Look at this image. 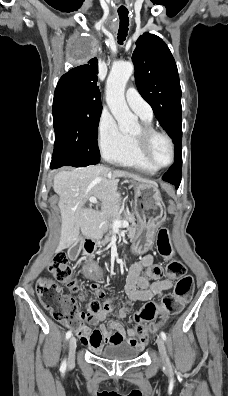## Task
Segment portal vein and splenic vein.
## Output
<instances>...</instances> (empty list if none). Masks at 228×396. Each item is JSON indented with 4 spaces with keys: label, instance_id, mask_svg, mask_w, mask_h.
<instances>
[{
    "label": "portal vein and splenic vein",
    "instance_id": "18ae733b",
    "mask_svg": "<svg viewBox=\"0 0 228 396\" xmlns=\"http://www.w3.org/2000/svg\"><path fill=\"white\" fill-rule=\"evenodd\" d=\"M89 201L92 204H96L97 203V198L94 197V196H91L89 198ZM128 225H129L128 221H123V222H120L119 220H114L113 221V227H120V226L127 227Z\"/></svg>",
    "mask_w": 228,
    "mask_h": 396
}]
</instances>
